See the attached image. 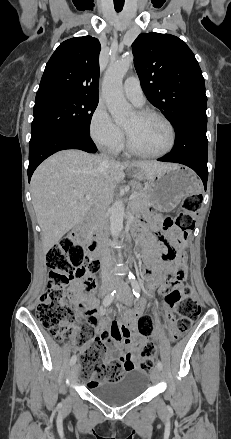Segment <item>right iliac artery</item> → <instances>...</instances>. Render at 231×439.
Masks as SVG:
<instances>
[{
	"mask_svg": "<svg viewBox=\"0 0 231 439\" xmlns=\"http://www.w3.org/2000/svg\"><path fill=\"white\" fill-rule=\"evenodd\" d=\"M116 291L114 290L113 292L109 293L103 300V305L106 307L108 305L111 304V302L113 301L114 297H115ZM77 357L76 355H73L71 360H70V364L74 365L76 363Z\"/></svg>",
	"mask_w": 231,
	"mask_h": 439,
	"instance_id": "right-iliac-artery-1",
	"label": "right iliac artery"
}]
</instances>
